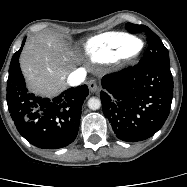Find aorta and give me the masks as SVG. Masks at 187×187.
Listing matches in <instances>:
<instances>
[{"instance_id":"obj_1","label":"aorta","mask_w":187,"mask_h":187,"mask_svg":"<svg viewBox=\"0 0 187 187\" xmlns=\"http://www.w3.org/2000/svg\"><path fill=\"white\" fill-rule=\"evenodd\" d=\"M88 107L91 110H98L101 107V101H100V99L95 98V97H91L88 100Z\"/></svg>"}]
</instances>
